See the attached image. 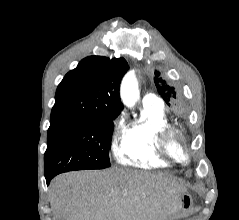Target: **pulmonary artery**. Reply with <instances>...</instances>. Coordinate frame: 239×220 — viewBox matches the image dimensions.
<instances>
[{
	"label": "pulmonary artery",
	"instance_id": "1",
	"mask_svg": "<svg viewBox=\"0 0 239 220\" xmlns=\"http://www.w3.org/2000/svg\"><path fill=\"white\" fill-rule=\"evenodd\" d=\"M142 103L145 105H155V106L163 107L162 99L154 93L145 94V96L142 99Z\"/></svg>",
	"mask_w": 239,
	"mask_h": 220
}]
</instances>
